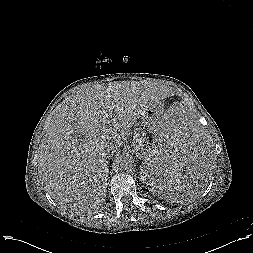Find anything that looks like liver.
I'll return each mask as SVG.
<instances>
[{
  "instance_id": "1",
  "label": "liver",
  "mask_w": 253,
  "mask_h": 253,
  "mask_svg": "<svg viewBox=\"0 0 253 253\" xmlns=\"http://www.w3.org/2000/svg\"><path fill=\"white\" fill-rule=\"evenodd\" d=\"M162 86L122 82L77 92L55 114L40 144L39 174L60 206L98 211L106 200L108 152L157 103Z\"/></svg>"
}]
</instances>
